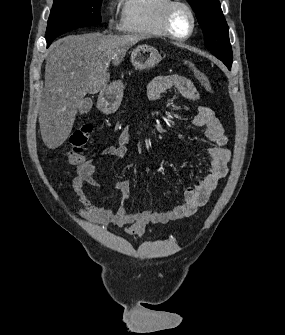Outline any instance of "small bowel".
<instances>
[{"mask_svg":"<svg viewBox=\"0 0 285 335\" xmlns=\"http://www.w3.org/2000/svg\"><path fill=\"white\" fill-rule=\"evenodd\" d=\"M170 89H176L190 102H196L199 98L193 83L181 75L155 78L148 87L147 95L150 100L156 101ZM192 123L196 127L205 128V135L212 146L208 149L206 175L197 185L185 191V201L183 203L162 212L152 210L128 212L124 206H118L117 208L96 207L88 200L86 187L98 188L99 184L94 177L95 164L87 161L78 167L77 174L72 181L73 190L82 205L76 210L77 214L101 227L128 226L127 233L131 236H142L148 225L165 224L194 215L199 207L206 204L210 195L216 189L219 180L226 175L230 151L225 147L227 137L224 128L211 108L198 105ZM129 139L130 127L127 126L120 132L113 145L103 149L102 156L114 160L123 159L128 152ZM117 189L123 197H126L130 191V183L121 181L117 184Z\"/></svg>","mask_w":285,"mask_h":335,"instance_id":"small-bowel-1","label":"small bowel"}]
</instances>
